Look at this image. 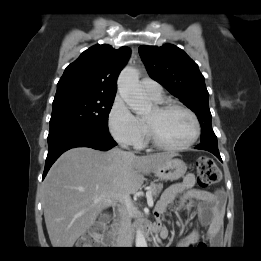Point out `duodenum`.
<instances>
[{"instance_id": "duodenum-1", "label": "duodenum", "mask_w": 261, "mask_h": 261, "mask_svg": "<svg viewBox=\"0 0 261 261\" xmlns=\"http://www.w3.org/2000/svg\"><path fill=\"white\" fill-rule=\"evenodd\" d=\"M119 229L120 228H119L118 224H112L108 231L104 230L103 243L106 246L118 247L120 245L121 237L119 235ZM158 230L159 229L157 227L156 228L148 227V228H145L144 233L147 238H152L157 234Z\"/></svg>"}]
</instances>
